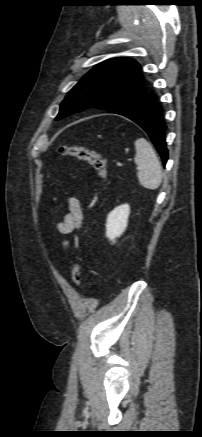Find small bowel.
Masks as SVG:
<instances>
[{"instance_id":"1","label":"small bowel","mask_w":202,"mask_h":437,"mask_svg":"<svg viewBox=\"0 0 202 437\" xmlns=\"http://www.w3.org/2000/svg\"><path fill=\"white\" fill-rule=\"evenodd\" d=\"M83 220L84 214L80 201L75 197H71L68 200V212L61 221L57 222L56 227L61 234H72L81 229ZM62 244L64 248H67L69 242L65 239Z\"/></svg>"}]
</instances>
